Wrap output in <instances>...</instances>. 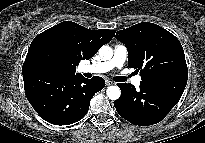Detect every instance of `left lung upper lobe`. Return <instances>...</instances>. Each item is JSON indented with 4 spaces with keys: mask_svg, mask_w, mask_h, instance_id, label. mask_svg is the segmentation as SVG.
<instances>
[{
    "mask_svg": "<svg viewBox=\"0 0 205 143\" xmlns=\"http://www.w3.org/2000/svg\"><path fill=\"white\" fill-rule=\"evenodd\" d=\"M116 39L128 50V66L140 70L141 79L169 74L188 75L179 40L164 28L142 22L120 30Z\"/></svg>",
    "mask_w": 205,
    "mask_h": 143,
    "instance_id": "obj_1",
    "label": "left lung upper lobe"
}]
</instances>
